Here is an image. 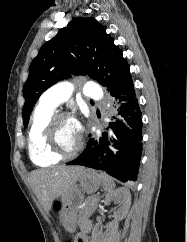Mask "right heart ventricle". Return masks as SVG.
<instances>
[{
    "label": "right heart ventricle",
    "instance_id": "1",
    "mask_svg": "<svg viewBox=\"0 0 187 242\" xmlns=\"http://www.w3.org/2000/svg\"><path fill=\"white\" fill-rule=\"evenodd\" d=\"M55 113V108L40 103L34 111L28 132V148L31 160L38 166L46 167L56 164L60 158L50 155L43 143V132Z\"/></svg>",
    "mask_w": 187,
    "mask_h": 242
}]
</instances>
